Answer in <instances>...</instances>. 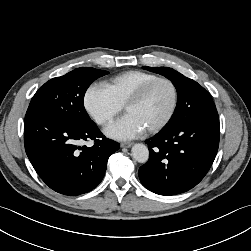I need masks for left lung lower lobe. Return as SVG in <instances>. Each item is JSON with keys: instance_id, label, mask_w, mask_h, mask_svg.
Wrapping results in <instances>:
<instances>
[{"instance_id": "1", "label": "left lung lower lobe", "mask_w": 251, "mask_h": 251, "mask_svg": "<svg viewBox=\"0 0 251 251\" xmlns=\"http://www.w3.org/2000/svg\"><path fill=\"white\" fill-rule=\"evenodd\" d=\"M173 127L146 140L149 160L139 169L141 183L159 195L196 186L210 169L219 146V117L207 91L197 92Z\"/></svg>"}]
</instances>
